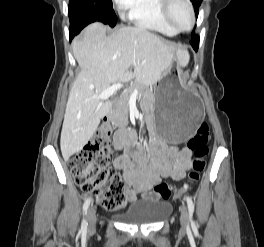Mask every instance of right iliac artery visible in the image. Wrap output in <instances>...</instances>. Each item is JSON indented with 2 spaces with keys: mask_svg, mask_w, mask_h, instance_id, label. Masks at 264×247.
<instances>
[{
  "mask_svg": "<svg viewBox=\"0 0 264 247\" xmlns=\"http://www.w3.org/2000/svg\"><path fill=\"white\" fill-rule=\"evenodd\" d=\"M91 201H92L91 198H88V199L85 200L84 205H83V212H84V214H86L87 209H88ZM87 225H88L87 221L85 219H83L82 224H81V231L83 233H85L87 231Z\"/></svg>",
  "mask_w": 264,
  "mask_h": 247,
  "instance_id": "82829eb1",
  "label": "right iliac artery"
}]
</instances>
